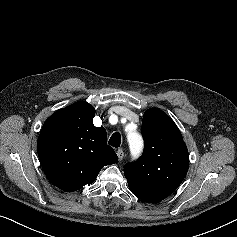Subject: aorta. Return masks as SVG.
<instances>
[{
  "instance_id": "obj_1",
  "label": "aorta",
  "mask_w": 237,
  "mask_h": 237,
  "mask_svg": "<svg viewBox=\"0 0 237 237\" xmlns=\"http://www.w3.org/2000/svg\"><path fill=\"white\" fill-rule=\"evenodd\" d=\"M127 138L131 153L133 155L138 154L142 148L141 136L136 132H129Z\"/></svg>"
}]
</instances>
